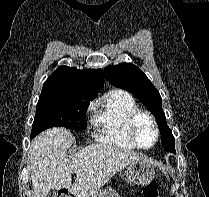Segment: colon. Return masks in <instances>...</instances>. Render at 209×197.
I'll return each instance as SVG.
<instances>
[{
  "label": "colon",
  "mask_w": 209,
  "mask_h": 197,
  "mask_svg": "<svg viewBox=\"0 0 209 197\" xmlns=\"http://www.w3.org/2000/svg\"><path fill=\"white\" fill-rule=\"evenodd\" d=\"M57 197H70L68 192L62 191ZM143 197H160L158 185L155 181L149 182L143 189Z\"/></svg>",
  "instance_id": "colon-1"
}]
</instances>
